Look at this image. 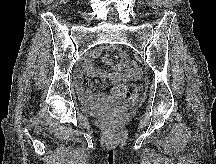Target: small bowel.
Segmentation results:
<instances>
[{
	"mask_svg": "<svg viewBox=\"0 0 216 164\" xmlns=\"http://www.w3.org/2000/svg\"><path fill=\"white\" fill-rule=\"evenodd\" d=\"M117 62H112L108 57L105 58L107 65L111 70H96L88 63L83 73L76 76L78 93L85 105L94 112H101L109 105V99L102 93H94L99 85V79L108 81H121L132 79L137 76L138 70L133 63L124 59V53L121 48H116Z\"/></svg>",
	"mask_w": 216,
	"mask_h": 164,
	"instance_id": "small-bowel-1",
	"label": "small bowel"
}]
</instances>
